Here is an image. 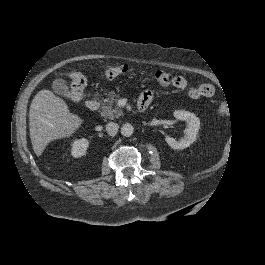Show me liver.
<instances>
[{
	"label": "liver",
	"instance_id": "6515ba94",
	"mask_svg": "<svg viewBox=\"0 0 265 265\" xmlns=\"http://www.w3.org/2000/svg\"><path fill=\"white\" fill-rule=\"evenodd\" d=\"M85 120L71 112L63 99L51 90L40 91L33 100L29 115L30 139L37 157L57 140L74 135Z\"/></svg>",
	"mask_w": 265,
	"mask_h": 265
}]
</instances>
